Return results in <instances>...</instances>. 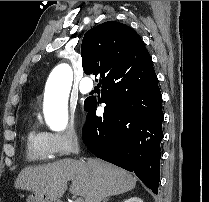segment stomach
<instances>
[{
  "label": "stomach",
  "instance_id": "stomach-1",
  "mask_svg": "<svg viewBox=\"0 0 209 202\" xmlns=\"http://www.w3.org/2000/svg\"><path fill=\"white\" fill-rule=\"evenodd\" d=\"M26 202H61L59 199L48 197L47 195L32 192L27 196Z\"/></svg>",
  "mask_w": 209,
  "mask_h": 202
}]
</instances>
